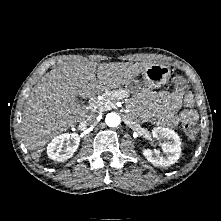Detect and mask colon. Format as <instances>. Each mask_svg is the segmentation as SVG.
Returning <instances> with one entry per match:
<instances>
[{"mask_svg": "<svg viewBox=\"0 0 221 221\" xmlns=\"http://www.w3.org/2000/svg\"><path fill=\"white\" fill-rule=\"evenodd\" d=\"M171 86L173 88H182L185 86V80L182 76L173 74L171 77ZM182 127L189 139L197 137L198 127L195 120H186L182 122Z\"/></svg>", "mask_w": 221, "mask_h": 221, "instance_id": "5ec220e1", "label": "colon"}]
</instances>
